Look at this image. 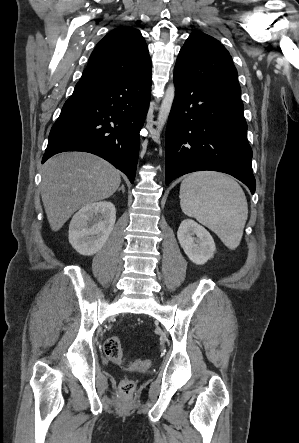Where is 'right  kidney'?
Returning a JSON list of instances; mask_svg holds the SVG:
<instances>
[{
    "label": "right kidney",
    "mask_w": 299,
    "mask_h": 443,
    "mask_svg": "<svg viewBox=\"0 0 299 443\" xmlns=\"http://www.w3.org/2000/svg\"><path fill=\"white\" fill-rule=\"evenodd\" d=\"M114 204L95 202L82 207L69 225V242L81 255L96 254L105 245L115 224Z\"/></svg>",
    "instance_id": "1"
}]
</instances>
